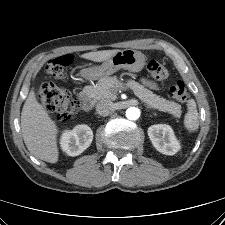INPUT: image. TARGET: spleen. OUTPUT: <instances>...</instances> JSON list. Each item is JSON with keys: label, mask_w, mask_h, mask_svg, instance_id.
<instances>
[{"label": "spleen", "mask_w": 225, "mask_h": 225, "mask_svg": "<svg viewBox=\"0 0 225 225\" xmlns=\"http://www.w3.org/2000/svg\"><path fill=\"white\" fill-rule=\"evenodd\" d=\"M184 127L190 132H195L199 128V114L194 99H190L187 102V113L184 116Z\"/></svg>", "instance_id": "1"}]
</instances>
